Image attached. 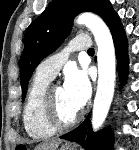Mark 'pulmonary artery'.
Returning a JSON list of instances; mask_svg holds the SVG:
<instances>
[{"label": "pulmonary artery", "instance_id": "e3ab8cb5", "mask_svg": "<svg viewBox=\"0 0 139 150\" xmlns=\"http://www.w3.org/2000/svg\"><path fill=\"white\" fill-rule=\"evenodd\" d=\"M92 47L91 40L86 35L76 36L62 52L55 54L44 60L36 70V75L48 79H53L72 51L89 50Z\"/></svg>", "mask_w": 139, "mask_h": 150}]
</instances>
